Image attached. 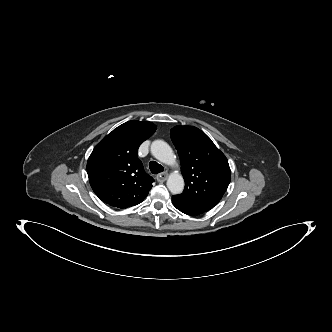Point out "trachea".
Returning a JSON list of instances; mask_svg holds the SVG:
<instances>
[{
  "mask_svg": "<svg viewBox=\"0 0 332 332\" xmlns=\"http://www.w3.org/2000/svg\"><path fill=\"white\" fill-rule=\"evenodd\" d=\"M149 169L153 174H158L163 172V166H161L159 163H157L156 161H151L149 163Z\"/></svg>",
  "mask_w": 332,
  "mask_h": 332,
  "instance_id": "trachea-1",
  "label": "trachea"
}]
</instances>
